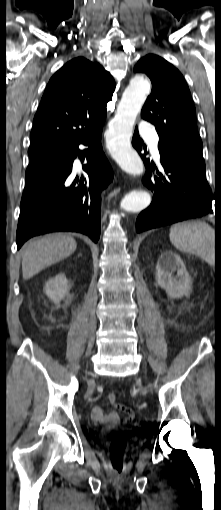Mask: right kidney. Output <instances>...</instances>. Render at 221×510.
<instances>
[{
  "label": "right kidney",
  "instance_id": "1",
  "mask_svg": "<svg viewBox=\"0 0 221 510\" xmlns=\"http://www.w3.org/2000/svg\"><path fill=\"white\" fill-rule=\"evenodd\" d=\"M68 292L67 279L63 274H58L49 279L44 286V293L55 303L60 302Z\"/></svg>",
  "mask_w": 221,
  "mask_h": 510
}]
</instances>
